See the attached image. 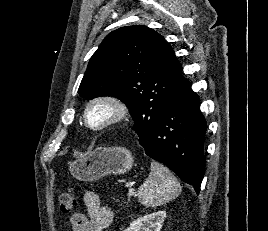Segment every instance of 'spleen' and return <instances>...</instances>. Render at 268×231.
I'll list each match as a JSON object with an SVG mask.
<instances>
[{
	"label": "spleen",
	"instance_id": "obj_1",
	"mask_svg": "<svg viewBox=\"0 0 268 231\" xmlns=\"http://www.w3.org/2000/svg\"><path fill=\"white\" fill-rule=\"evenodd\" d=\"M180 192V183L171 171L152 161L151 172L138 190V200L142 205L156 207L175 199Z\"/></svg>",
	"mask_w": 268,
	"mask_h": 231
}]
</instances>
